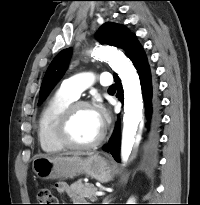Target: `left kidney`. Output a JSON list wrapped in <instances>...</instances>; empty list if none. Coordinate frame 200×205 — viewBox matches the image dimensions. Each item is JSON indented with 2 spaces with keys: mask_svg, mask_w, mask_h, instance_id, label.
<instances>
[{
  "mask_svg": "<svg viewBox=\"0 0 200 205\" xmlns=\"http://www.w3.org/2000/svg\"><path fill=\"white\" fill-rule=\"evenodd\" d=\"M135 201H136L135 198L132 197L128 200L127 204H136Z\"/></svg>",
  "mask_w": 200,
  "mask_h": 205,
  "instance_id": "left-kidney-1",
  "label": "left kidney"
}]
</instances>
